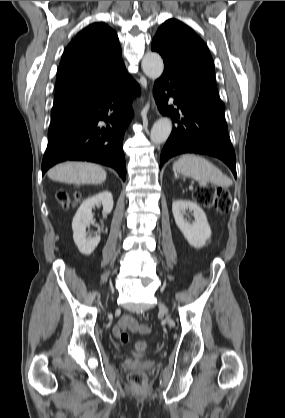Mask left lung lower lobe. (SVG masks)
<instances>
[{
    "mask_svg": "<svg viewBox=\"0 0 285 418\" xmlns=\"http://www.w3.org/2000/svg\"><path fill=\"white\" fill-rule=\"evenodd\" d=\"M153 95L159 111L173 120L172 133L161 152L160 168L179 154H207L221 159L236 177L235 152L224 117L225 105L218 92L164 61V72L154 84ZM171 100L177 110L168 105ZM179 113L184 116L180 120Z\"/></svg>",
    "mask_w": 285,
    "mask_h": 418,
    "instance_id": "1",
    "label": "left lung lower lobe"
}]
</instances>
